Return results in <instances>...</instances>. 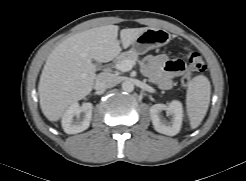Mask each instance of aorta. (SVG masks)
I'll return each mask as SVG.
<instances>
[{"instance_id": "obj_1", "label": "aorta", "mask_w": 246, "mask_h": 181, "mask_svg": "<svg viewBox=\"0 0 246 181\" xmlns=\"http://www.w3.org/2000/svg\"><path fill=\"white\" fill-rule=\"evenodd\" d=\"M122 90L129 93L132 92L134 90V84L129 80L124 81L122 83Z\"/></svg>"}]
</instances>
